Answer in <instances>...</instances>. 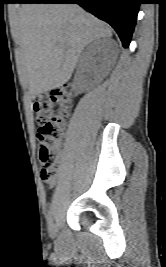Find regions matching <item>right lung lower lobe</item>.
Wrapping results in <instances>:
<instances>
[{"instance_id": "obj_1", "label": "right lung lower lobe", "mask_w": 166, "mask_h": 267, "mask_svg": "<svg viewBox=\"0 0 166 267\" xmlns=\"http://www.w3.org/2000/svg\"><path fill=\"white\" fill-rule=\"evenodd\" d=\"M20 3H77L118 33L124 48L129 46L141 0H21Z\"/></svg>"}]
</instances>
